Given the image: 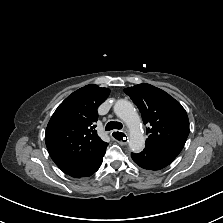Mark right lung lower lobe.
<instances>
[{
    "label": "right lung lower lobe",
    "instance_id": "right-lung-lower-lobe-1",
    "mask_svg": "<svg viewBox=\"0 0 223 223\" xmlns=\"http://www.w3.org/2000/svg\"><path fill=\"white\" fill-rule=\"evenodd\" d=\"M104 154H105V151L101 155H99L93 162L88 164L87 166H85V167H83L81 169L75 170V171H73L71 173H68V175H70L72 177H75V178L91 176L101 166Z\"/></svg>",
    "mask_w": 223,
    "mask_h": 223
}]
</instances>
